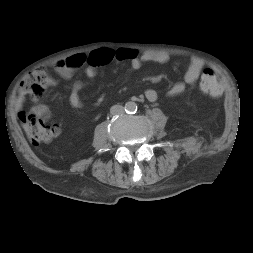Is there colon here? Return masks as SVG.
<instances>
[{"mask_svg":"<svg viewBox=\"0 0 253 253\" xmlns=\"http://www.w3.org/2000/svg\"><path fill=\"white\" fill-rule=\"evenodd\" d=\"M200 89L205 94L212 97H219L223 93V88L218 82L214 72L206 69L200 79ZM47 87V79L43 69L34 71L21 83L23 94L32 97L34 100L39 99ZM30 142L34 145H40L49 142L57 137L60 133V127L56 124L48 125L39 120L32 114L20 112L18 114Z\"/></svg>","mask_w":253,"mask_h":253,"instance_id":"colon-1","label":"colon"}]
</instances>
